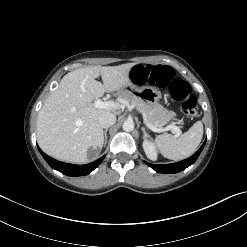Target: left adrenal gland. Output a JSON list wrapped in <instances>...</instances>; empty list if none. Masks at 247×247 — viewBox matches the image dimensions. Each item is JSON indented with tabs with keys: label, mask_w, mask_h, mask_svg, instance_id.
Instances as JSON below:
<instances>
[{
	"label": "left adrenal gland",
	"mask_w": 247,
	"mask_h": 247,
	"mask_svg": "<svg viewBox=\"0 0 247 247\" xmlns=\"http://www.w3.org/2000/svg\"><path fill=\"white\" fill-rule=\"evenodd\" d=\"M141 129H142V132H143L144 137H149V135H148L145 127L142 126Z\"/></svg>",
	"instance_id": "1"
}]
</instances>
